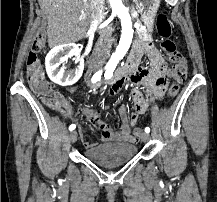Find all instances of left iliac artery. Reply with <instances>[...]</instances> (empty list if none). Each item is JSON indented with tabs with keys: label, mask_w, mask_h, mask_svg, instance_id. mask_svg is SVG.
I'll return each mask as SVG.
<instances>
[{
	"label": "left iliac artery",
	"mask_w": 217,
	"mask_h": 202,
	"mask_svg": "<svg viewBox=\"0 0 217 202\" xmlns=\"http://www.w3.org/2000/svg\"><path fill=\"white\" fill-rule=\"evenodd\" d=\"M108 72H109V70L106 71V74H108ZM111 72H112V71H111ZM106 74H105V78H106V79H110V78L112 77V75H113V73H111V75H110L109 77H107ZM145 132H146V133H149V132H150V128H149V127H146V128H145Z\"/></svg>",
	"instance_id": "left-iliac-artery-1"
}]
</instances>
